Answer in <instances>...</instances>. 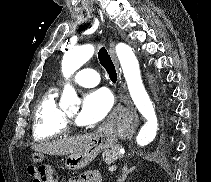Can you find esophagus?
<instances>
[{
  "label": "esophagus",
  "instance_id": "1",
  "mask_svg": "<svg viewBox=\"0 0 211 182\" xmlns=\"http://www.w3.org/2000/svg\"><path fill=\"white\" fill-rule=\"evenodd\" d=\"M109 51H110V55L112 57V60L114 62V65L116 67V71H117L118 77L120 78L119 63H118V59H117L116 54H115L114 42H113L112 39L110 40ZM119 98L121 100H123V101H127V97L124 94H120ZM110 118H111V115L108 118V120L105 123V125L100 130H102V129H104V128H106L108 126V124L110 123V121H109Z\"/></svg>",
  "mask_w": 211,
  "mask_h": 182
}]
</instances>
